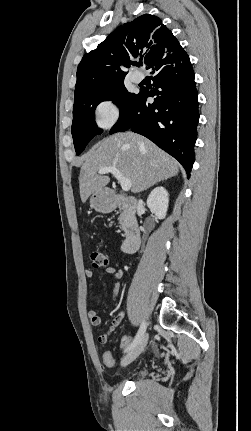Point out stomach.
Returning <instances> with one entry per match:
<instances>
[{"instance_id":"stomach-1","label":"stomach","mask_w":251,"mask_h":431,"mask_svg":"<svg viewBox=\"0 0 251 431\" xmlns=\"http://www.w3.org/2000/svg\"><path fill=\"white\" fill-rule=\"evenodd\" d=\"M90 206L100 213H109L116 207L115 199L107 189L98 190L90 197Z\"/></svg>"}]
</instances>
